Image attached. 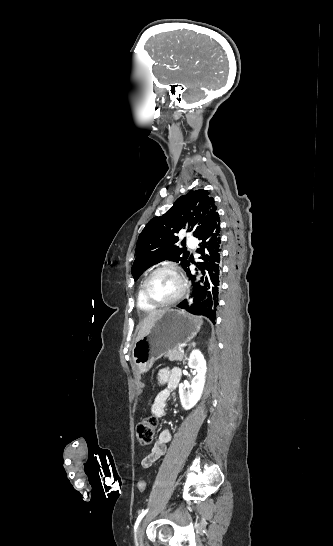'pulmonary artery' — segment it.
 Returning <instances> with one entry per match:
<instances>
[{"mask_svg":"<svg viewBox=\"0 0 333 546\" xmlns=\"http://www.w3.org/2000/svg\"><path fill=\"white\" fill-rule=\"evenodd\" d=\"M186 241L189 246L194 247L197 243L196 239L193 236H187Z\"/></svg>","mask_w":333,"mask_h":546,"instance_id":"pulmonary-artery-1","label":"pulmonary artery"}]
</instances>
